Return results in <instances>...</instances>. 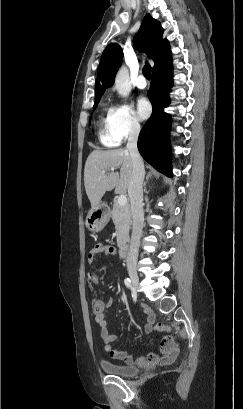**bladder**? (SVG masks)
<instances>
[{"label":"bladder","mask_w":243,"mask_h":409,"mask_svg":"<svg viewBox=\"0 0 243 409\" xmlns=\"http://www.w3.org/2000/svg\"><path fill=\"white\" fill-rule=\"evenodd\" d=\"M100 367L109 375L119 376V377H133L139 374L140 368L137 365H122L114 362L103 361Z\"/></svg>","instance_id":"bladder-1"}]
</instances>
